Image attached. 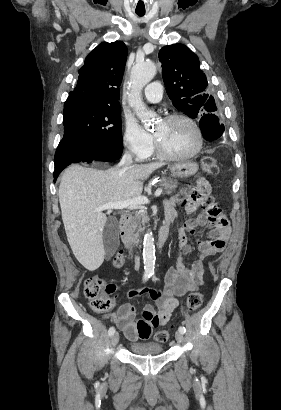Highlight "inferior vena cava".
<instances>
[{
    "instance_id": "1",
    "label": "inferior vena cava",
    "mask_w": 281,
    "mask_h": 410,
    "mask_svg": "<svg viewBox=\"0 0 281 410\" xmlns=\"http://www.w3.org/2000/svg\"><path fill=\"white\" fill-rule=\"evenodd\" d=\"M132 156L128 153H125L119 163V167H122L124 169H128L129 167L132 166Z\"/></svg>"
}]
</instances>
